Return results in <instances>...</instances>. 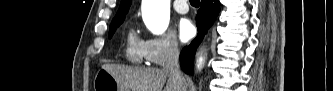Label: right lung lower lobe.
<instances>
[{"instance_id": "obj_1", "label": "right lung lower lobe", "mask_w": 333, "mask_h": 91, "mask_svg": "<svg viewBox=\"0 0 333 91\" xmlns=\"http://www.w3.org/2000/svg\"><path fill=\"white\" fill-rule=\"evenodd\" d=\"M220 11L219 0H202L200 9L196 16V25L198 29L197 37L191 44L181 51V68L185 73L191 74L193 70V59L198 45L204 38L207 30L213 24Z\"/></svg>"}]
</instances>
